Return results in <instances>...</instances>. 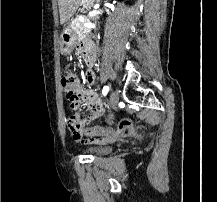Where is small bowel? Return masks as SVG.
<instances>
[{
	"mask_svg": "<svg viewBox=\"0 0 217 202\" xmlns=\"http://www.w3.org/2000/svg\"><path fill=\"white\" fill-rule=\"evenodd\" d=\"M88 48L93 58V63L96 60V49L92 43H87ZM86 83L89 85L95 82V72L93 69H88L85 75ZM82 99L76 104L78 107L85 101L89 116L84 121L81 120V115L78 111H75L71 116H76V121H73L77 126V131L72 133L73 139L77 142H90L95 144H104L115 141L118 136V131H81V126H88L92 121L102 117L106 109L99 95L93 91L88 90L83 92ZM84 135L86 137H84Z\"/></svg>",
	"mask_w": 217,
	"mask_h": 202,
	"instance_id": "obj_1",
	"label": "small bowel"
}]
</instances>
